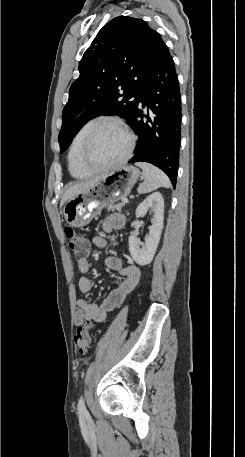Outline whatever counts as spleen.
<instances>
[{"label":"spleen","mask_w":245,"mask_h":457,"mask_svg":"<svg viewBox=\"0 0 245 457\" xmlns=\"http://www.w3.org/2000/svg\"><path fill=\"white\" fill-rule=\"evenodd\" d=\"M136 166L142 168V174L144 176V182H140L137 190L139 194H144V192H151V190H156L159 186H166L169 188L171 182L160 168L149 164V162H135Z\"/></svg>","instance_id":"1"}]
</instances>
